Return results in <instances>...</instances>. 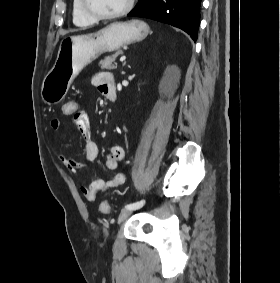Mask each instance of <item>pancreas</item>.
I'll list each match as a JSON object with an SVG mask.
<instances>
[{
	"label": "pancreas",
	"mask_w": 280,
	"mask_h": 283,
	"mask_svg": "<svg viewBox=\"0 0 280 283\" xmlns=\"http://www.w3.org/2000/svg\"><path fill=\"white\" fill-rule=\"evenodd\" d=\"M122 54H123V51L118 50L114 54L110 56H106L104 59H102L99 62V66L101 67V69H115L117 66V63H115V60L119 55H122Z\"/></svg>",
	"instance_id": "cf45deb5"
}]
</instances>
